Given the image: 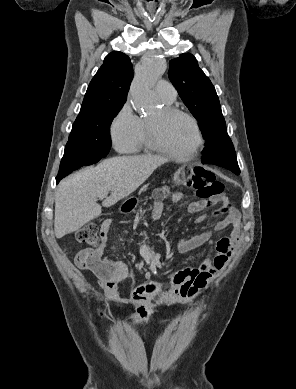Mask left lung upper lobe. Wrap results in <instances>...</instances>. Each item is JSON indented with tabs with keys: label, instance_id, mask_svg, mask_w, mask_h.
<instances>
[{
	"label": "left lung upper lobe",
	"instance_id": "left-lung-upper-lobe-1",
	"mask_svg": "<svg viewBox=\"0 0 296 389\" xmlns=\"http://www.w3.org/2000/svg\"><path fill=\"white\" fill-rule=\"evenodd\" d=\"M169 66V79L187 108L199 121V128L206 140L205 147H208L226 129L216 90L192 54H181L170 60Z\"/></svg>",
	"mask_w": 296,
	"mask_h": 389
}]
</instances>
